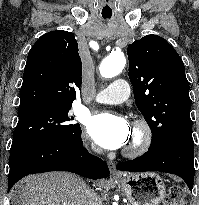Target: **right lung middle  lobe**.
Segmentation results:
<instances>
[{
  "label": "right lung middle lobe",
  "mask_w": 199,
  "mask_h": 205,
  "mask_svg": "<svg viewBox=\"0 0 199 205\" xmlns=\"http://www.w3.org/2000/svg\"><path fill=\"white\" fill-rule=\"evenodd\" d=\"M72 104L38 106L19 111L10 153L45 141L66 138L77 140L81 137L79 123L69 115Z\"/></svg>",
  "instance_id": "obj_1"
}]
</instances>
